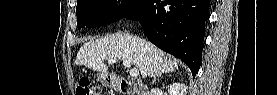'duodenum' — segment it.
I'll return each instance as SVG.
<instances>
[{
    "mask_svg": "<svg viewBox=\"0 0 277 95\" xmlns=\"http://www.w3.org/2000/svg\"><path fill=\"white\" fill-rule=\"evenodd\" d=\"M112 88H117L122 94L145 95V88L141 83L131 82L121 78L108 76Z\"/></svg>",
    "mask_w": 277,
    "mask_h": 95,
    "instance_id": "obj_1",
    "label": "duodenum"
}]
</instances>
